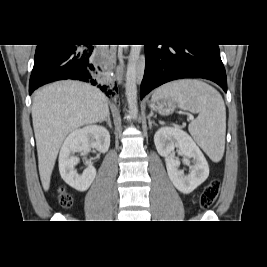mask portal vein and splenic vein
<instances>
[{"label":"portal vein and splenic vein","instance_id":"portal-vein-and-splenic-vein-1","mask_svg":"<svg viewBox=\"0 0 267 267\" xmlns=\"http://www.w3.org/2000/svg\"><path fill=\"white\" fill-rule=\"evenodd\" d=\"M189 117H190V119H194V116L193 115H190Z\"/></svg>","mask_w":267,"mask_h":267}]
</instances>
